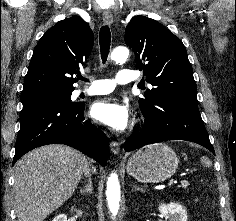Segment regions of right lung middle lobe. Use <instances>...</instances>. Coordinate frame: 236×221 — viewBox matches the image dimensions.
Segmentation results:
<instances>
[{
	"label": "right lung middle lobe",
	"instance_id": "right-lung-middle-lobe-1",
	"mask_svg": "<svg viewBox=\"0 0 236 221\" xmlns=\"http://www.w3.org/2000/svg\"><path fill=\"white\" fill-rule=\"evenodd\" d=\"M73 90L64 89H43L21 94L22 104L38 101H59L64 103H72L70 96Z\"/></svg>",
	"mask_w": 236,
	"mask_h": 221
}]
</instances>
